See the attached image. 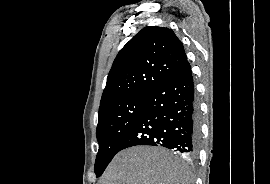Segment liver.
<instances>
[{
    "label": "liver",
    "mask_w": 270,
    "mask_h": 184,
    "mask_svg": "<svg viewBox=\"0 0 270 184\" xmlns=\"http://www.w3.org/2000/svg\"><path fill=\"white\" fill-rule=\"evenodd\" d=\"M187 166L163 148L136 146L119 152L99 184H189Z\"/></svg>",
    "instance_id": "liver-1"
}]
</instances>
